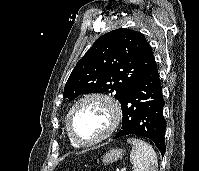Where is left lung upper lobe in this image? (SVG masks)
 <instances>
[{
  "label": "left lung upper lobe",
  "mask_w": 199,
  "mask_h": 171,
  "mask_svg": "<svg viewBox=\"0 0 199 171\" xmlns=\"http://www.w3.org/2000/svg\"><path fill=\"white\" fill-rule=\"evenodd\" d=\"M154 61L140 32L120 28L99 37L74 67L64 87L70 100L85 93H111L122 101L130 87Z\"/></svg>",
  "instance_id": "1"
}]
</instances>
